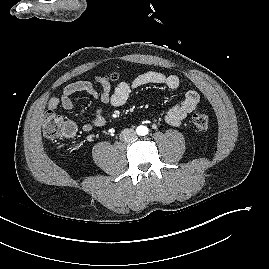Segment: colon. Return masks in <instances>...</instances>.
I'll return each instance as SVG.
<instances>
[{
    "label": "colon",
    "mask_w": 269,
    "mask_h": 269,
    "mask_svg": "<svg viewBox=\"0 0 269 269\" xmlns=\"http://www.w3.org/2000/svg\"><path fill=\"white\" fill-rule=\"evenodd\" d=\"M106 81H116L117 75L104 77ZM194 129L198 133L205 132L209 126V117L205 111L196 113L192 118ZM68 121L52 112H47L43 119V133L50 139L60 138L67 135Z\"/></svg>",
    "instance_id": "obj_1"
}]
</instances>
